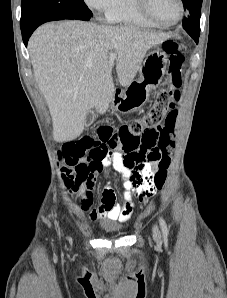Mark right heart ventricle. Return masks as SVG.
I'll use <instances>...</instances> for the list:
<instances>
[{"instance_id":"e07e8e85","label":"right heart ventricle","mask_w":227,"mask_h":298,"mask_svg":"<svg viewBox=\"0 0 227 298\" xmlns=\"http://www.w3.org/2000/svg\"><path fill=\"white\" fill-rule=\"evenodd\" d=\"M110 23L131 27L153 28L154 23L139 12L136 0H115L114 5L105 13Z\"/></svg>"}]
</instances>
